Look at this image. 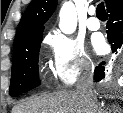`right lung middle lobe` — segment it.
I'll return each mask as SVG.
<instances>
[{"label":"right lung middle lobe","mask_w":123,"mask_h":113,"mask_svg":"<svg viewBox=\"0 0 123 113\" xmlns=\"http://www.w3.org/2000/svg\"><path fill=\"white\" fill-rule=\"evenodd\" d=\"M42 35L24 42L13 52L9 93L18 96L40 84L38 58Z\"/></svg>","instance_id":"obj_1"}]
</instances>
